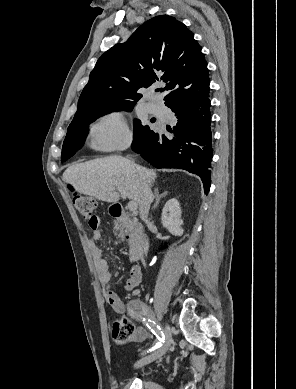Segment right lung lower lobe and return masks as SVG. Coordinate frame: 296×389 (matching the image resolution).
<instances>
[{"instance_id": "98d812e1", "label": "right lung lower lobe", "mask_w": 296, "mask_h": 389, "mask_svg": "<svg viewBox=\"0 0 296 389\" xmlns=\"http://www.w3.org/2000/svg\"><path fill=\"white\" fill-rule=\"evenodd\" d=\"M169 108L177 118L173 136L154 132L142 147L133 150L156 168H179L198 175L207 194L212 159L209 89Z\"/></svg>"}]
</instances>
